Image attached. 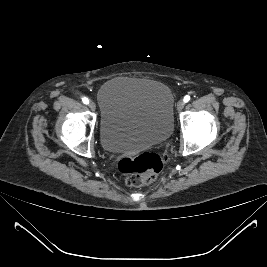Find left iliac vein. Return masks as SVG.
Returning <instances> with one entry per match:
<instances>
[{
    "label": "left iliac vein",
    "mask_w": 267,
    "mask_h": 267,
    "mask_svg": "<svg viewBox=\"0 0 267 267\" xmlns=\"http://www.w3.org/2000/svg\"><path fill=\"white\" fill-rule=\"evenodd\" d=\"M185 102L184 100H179L177 103V110L181 111L184 108Z\"/></svg>",
    "instance_id": "left-iliac-vein-1"
}]
</instances>
